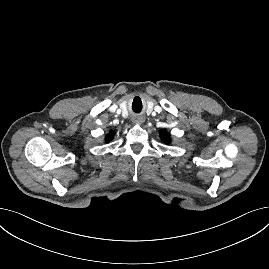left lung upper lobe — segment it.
Masks as SVG:
<instances>
[{"mask_svg": "<svg viewBox=\"0 0 269 269\" xmlns=\"http://www.w3.org/2000/svg\"><path fill=\"white\" fill-rule=\"evenodd\" d=\"M160 137H161V139H162L165 143H169V142H170V135H169V133H167L165 130H161V131H160Z\"/></svg>", "mask_w": 269, "mask_h": 269, "instance_id": "obj_1", "label": "left lung upper lobe"}]
</instances>
